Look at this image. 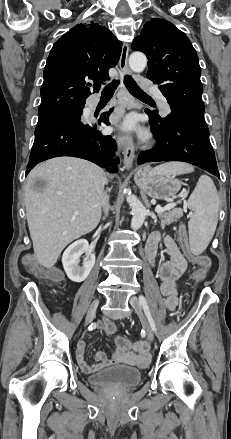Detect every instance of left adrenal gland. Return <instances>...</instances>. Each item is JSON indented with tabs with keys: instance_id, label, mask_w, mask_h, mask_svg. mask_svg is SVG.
Wrapping results in <instances>:
<instances>
[{
	"instance_id": "left-adrenal-gland-1",
	"label": "left adrenal gland",
	"mask_w": 231,
	"mask_h": 439,
	"mask_svg": "<svg viewBox=\"0 0 231 439\" xmlns=\"http://www.w3.org/2000/svg\"><path fill=\"white\" fill-rule=\"evenodd\" d=\"M142 195H143V198H144L146 205L150 208L151 205L149 204L147 197L144 194H142Z\"/></svg>"
}]
</instances>
